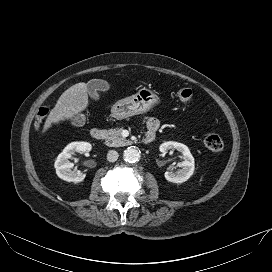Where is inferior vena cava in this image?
I'll use <instances>...</instances> for the list:
<instances>
[{
    "label": "inferior vena cava",
    "mask_w": 272,
    "mask_h": 272,
    "mask_svg": "<svg viewBox=\"0 0 272 272\" xmlns=\"http://www.w3.org/2000/svg\"><path fill=\"white\" fill-rule=\"evenodd\" d=\"M119 157V154L117 151L115 150H110L108 151V154H107V160L109 162H115Z\"/></svg>",
    "instance_id": "obj_1"
}]
</instances>
